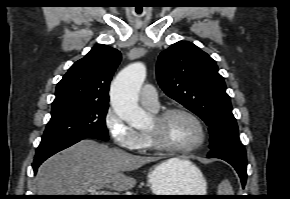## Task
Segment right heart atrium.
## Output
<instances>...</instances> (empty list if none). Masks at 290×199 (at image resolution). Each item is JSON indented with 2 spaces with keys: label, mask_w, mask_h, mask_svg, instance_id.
I'll use <instances>...</instances> for the list:
<instances>
[{
  "label": "right heart atrium",
  "mask_w": 290,
  "mask_h": 199,
  "mask_svg": "<svg viewBox=\"0 0 290 199\" xmlns=\"http://www.w3.org/2000/svg\"><path fill=\"white\" fill-rule=\"evenodd\" d=\"M105 124L118 147L131 151L138 150L140 133L129 126L113 108L107 110Z\"/></svg>",
  "instance_id": "obj_1"
}]
</instances>
